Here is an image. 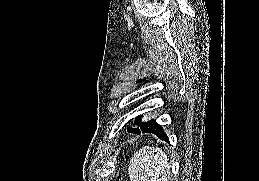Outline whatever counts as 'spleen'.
<instances>
[{"label": "spleen", "instance_id": "1", "mask_svg": "<svg viewBox=\"0 0 259 181\" xmlns=\"http://www.w3.org/2000/svg\"><path fill=\"white\" fill-rule=\"evenodd\" d=\"M170 168L161 148L145 146L130 160V181H169Z\"/></svg>", "mask_w": 259, "mask_h": 181}]
</instances>
